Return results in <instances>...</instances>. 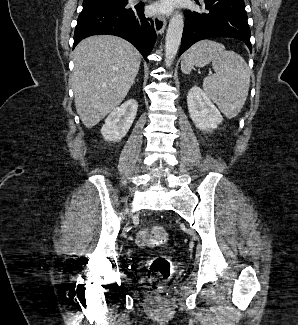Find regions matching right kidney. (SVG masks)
I'll use <instances>...</instances> for the list:
<instances>
[{
	"label": "right kidney",
	"mask_w": 298,
	"mask_h": 325,
	"mask_svg": "<svg viewBox=\"0 0 298 325\" xmlns=\"http://www.w3.org/2000/svg\"><path fill=\"white\" fill-rule=\"evenodd\" d=\"M138 102L135 98H128L121 106L114 108L101 128L104 140L118 142L127 134L137 112Z\"/></svg>",
	"instance_id": "right-kidney-1"
}]
</instances>
